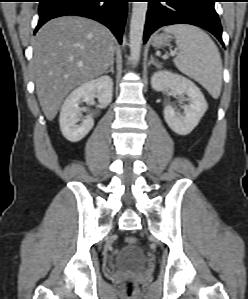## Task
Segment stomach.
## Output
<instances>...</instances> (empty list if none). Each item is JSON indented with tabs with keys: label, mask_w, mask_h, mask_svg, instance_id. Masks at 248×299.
<instances>
[{
	"label": "stomach",
	"mask_w": 248,
	"mask_h": 299,
	"mask_svg": "<svg viewBox=\"0 0 248 299\" xmlns=\"http://www.w3.org/2000/svg\"><path fill=\"white\" fill-rule=\"evenodd\" d=\"M171 41V36L168 34H159L156 35L152 40V45L156 48L168 45V43Z\"/></svg>",
	"instance_id": "1"
}]
</instances>
